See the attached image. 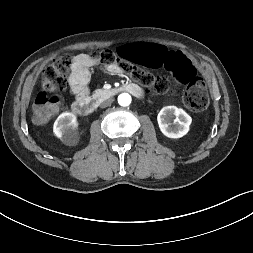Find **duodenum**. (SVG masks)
Segmentation results:
<instances>
[{"mask_svg":"<svg viewBox=\"0 0 253 253\" xmlns=\"http://www.w3.org/2000/svg\"><path fill=\"white\" fill-rule=\"evenodd\" d=\"M122 91L129 92L136 97L142 96V91L139 86L128 83L117 88L101 91L93 96L79 98L73 103V110L82 116L90 115L97 109L103 100L111 98Z\"/></svg>","mask_w":253,"mask_h":253,"instance_id":"obj_1","label":"duodenum"}]
</instances>
